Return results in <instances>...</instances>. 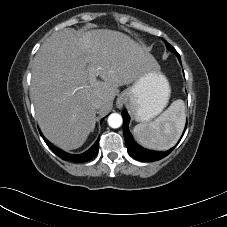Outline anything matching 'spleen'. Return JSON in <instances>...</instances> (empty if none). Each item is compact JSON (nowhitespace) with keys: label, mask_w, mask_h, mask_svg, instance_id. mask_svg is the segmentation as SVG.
I'll list each match as a JSON object with an SVG mask.
<instances>
[{"label":"spleen","mask_w":227,"mask_h":227,"mask_svg":"<svg viewBox=\"0 0 227 227\" xmlns=\"http://www.w3.org/2000/svg\"><path fill=\"white\" fill-rule=\"evenodd\" d=\"M185 119V104L183 100H176L155 121L136 125L133 133L137 142L143 147L167 150L178 140Z\"/></svg>","instance_id":"spleen-1"}]
</instances>
